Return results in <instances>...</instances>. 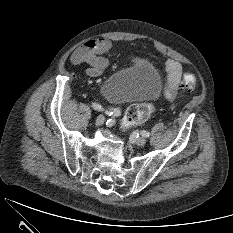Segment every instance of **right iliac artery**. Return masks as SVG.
<instances>
[{
  "label": "right iliac artery",
  "instance_id": "1",
  "mask_svg": "<svg viewBox=\"0 0 233 233\" xmlns=\"http://www.w3.org/2000/svg\"><path fill=\"white\" fill-rule=\"evenodd\" d=\"M92 107L95 110L103 111L108 116H112V117H118L121 114L120 110L118 108H114V107H103V106H101L100 104H97V103H93Z\"/></svg>",
  "mask_w": 233,
  "mask_h": 233
}]
</instances>
